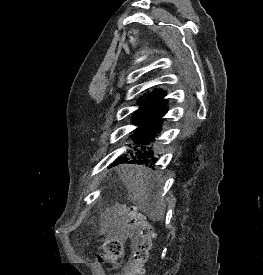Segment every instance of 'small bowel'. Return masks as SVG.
Returning a JSON list of instances; mask_svg holds the SVG:
<instances>
[{
  "label": "small bowel",
  "mask_w": 263,
  "mask_h": 275,
  "mask_svg": "<svg viewBox=\"0 0 263 275\" xmlns=\"http://www.w3.org/2000/svg\"><path fill=\"white\" fill-rule=\"evenodd\" d=\"M116 275H121L120 273H117Z\"/></svg>",
  "instance_id": "c3829d8e"
}]
</instances>
